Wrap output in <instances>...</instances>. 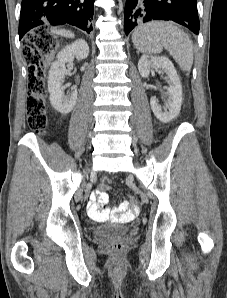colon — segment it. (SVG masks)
<instances>
[{"mask_svg": "<svg viewBox=\"0 0 227 298\" xmlns=\"http://www.w3.org/2000/svg\"><path fill=\"white\" fill-rule=\"evenodd\" d=\"M42 34L41 40L37 41L33 35H29L27 42L23 46V56L29 64L28 69V98L27 106V124L37 133H43L47 124L46 117V88H45V70L42 65V58L49 52L52 45L51 39L41 30H37ZM99 190H111L109 182L104 180L99 185ZM137 196H130V201L126 202L129 206L140 207ZM126 249L123 243H112L109 250L114 254H120Z\"/></svg>", "mask_w": 227, "mask_h": 298, "instance_id": "obj_1", "label": "colon"}]
</instances>
